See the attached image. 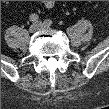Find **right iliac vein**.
<instances>
[{"label":"right iliac vein","mask_w":109,"mask_h":109,"mask_svg":"<svg viewBox=\"0 0 109 109\" xmlns=\"http://www.w3.org/2000/svg\"><path fill=\"white\" fill-rule=\"evenodd\" d=\"M38 29H39V26L34 23V24H32V25L29 27V32L34 33V32H36Z\"/></svg>","instance_id":"right-iliac-vein-1"}]
</instances>
